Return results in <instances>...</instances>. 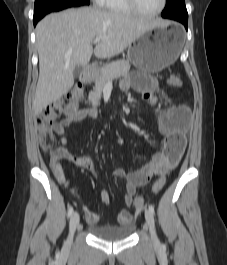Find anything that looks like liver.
<instances>
[{
    "label": "liver",
    "instance_id": "liver-1",
    "mask_svg": "<svg viewBox=\"0 0 227 265\" xmlns=\"http://www.w3.org/2000/svg\"><path fill=\"white\" fill-rule=\"evenodd\" d=\"M156 23L93 7L68 9L43 18L36 27L39 79L32 108L40 114L74 84L76 66H86L92 55L100 59L122 53ZM101 38L95 49V38Z\"/></svg>",
    "mask_w": 227,
    "mask_h": 265
}]
</instances>
